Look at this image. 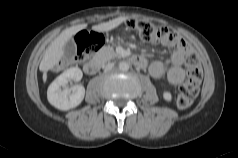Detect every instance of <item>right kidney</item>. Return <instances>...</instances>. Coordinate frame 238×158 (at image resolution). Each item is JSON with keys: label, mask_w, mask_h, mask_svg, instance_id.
Here are the masks:
<instances>
[{"label": "right kidney", "mask_w": 238, "mask_h": 158, "mask_svg": "<svg viewBox=\"0 0 238 158\" xmlns=\"http://www.w3.org/2000/svg\"><path fill=\"white\" fill-rule=\"evenodd\" d=\"M83 76L81 69L71 67L59 75L48 87L47 99L55 108L63 111L77 107L84 99L85 88L75 85L71 88L67 84L71 81H80Z\"/></svg>", "instance_id": "obj_1"}]
</instances>
